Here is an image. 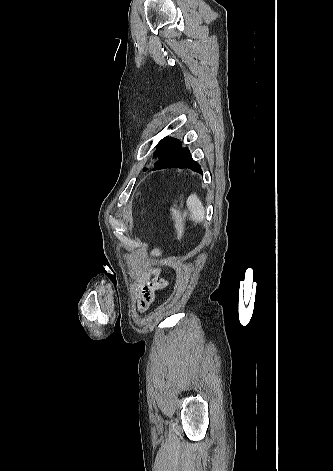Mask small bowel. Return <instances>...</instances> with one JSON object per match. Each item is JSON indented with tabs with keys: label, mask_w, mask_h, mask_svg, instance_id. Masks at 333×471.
Masks as SVG:
<instances>
[{
	"label": "small bowel",
	"mask_w": 333,
	"mask_h": 471,
	"mask_svg": "<svg viewBox=\"0 0 333 471\" xmlns=\"http://www.w3.org/2000/svg\"><path fill=\"white\" fill-rule=\"evenodd\" d=\"M153 256L158 258L160 252L155 249ZM168 280L162 275L158 264H152L144 270L135 280L132 293L137 303V309L143 313L154 302L156 292L165 289L168 286Z\"/></svg>",
	"instance_id": "c3829d8e"
}]
</instances>
